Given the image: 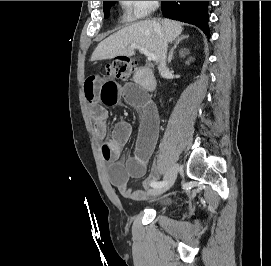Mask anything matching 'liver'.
I'll use <instances>...</instances> for the list:
<instances>
[{
  "mask_svg": "<svg viewBox=\"0 0 271 266\" xmlns=\"http://www.w3.org/2000/svg\"><path fill=\"white\" fill-rule=\"evenodd\" d=\"M182 31V24L170 19L140 21L100 42L91 56V61L112 59L118 56H133L134 49L129 45L137 44L154 53L157 62H159L161 59L159 32L164 34L167 42H172Z\"/></svg>",
  "mask_w": 271,
  "mask_h": 266,
  "instance_id": "6515ba94",
  "label": "liver"
}]
</instances>
